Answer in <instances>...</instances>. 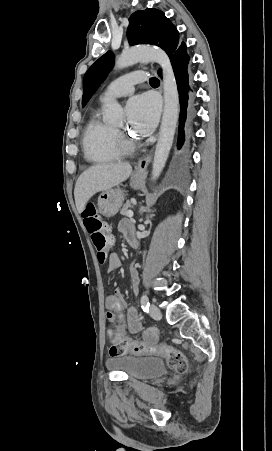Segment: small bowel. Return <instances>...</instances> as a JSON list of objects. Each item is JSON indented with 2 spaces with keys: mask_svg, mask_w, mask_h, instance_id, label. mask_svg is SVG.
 Returning <instances> with one entry per match:
<instances>
[{
  "mask_svg": "<svg viewBox=\"0 0 272 451\" xmlns=\"http://www.w3.org/2000/svg\"><path fill=\"white\" fill-rule=\"evenodd\" d=\"M118 230L128 240L129 237L135 236V229L133 223L128 219H123L118 224ZM109 243L113 244L115 239L113 236L108 237ZM121 267V260L116 253H110L107 261V270L113 271ZM130 281L133 292H137L139 286V273L136 266H132L130 269ZM107 316L110 319H115L124 309L126 311L127 328L130 333H138L141 330V322L139 316L134 307H127V302L124 299L120 290H115L107 297ZM127 338L125 335V329L122 327L119 331V340ZM145 341L148 343H157L158 335L155 331L149 330L145 333Z\"/></svg>",
  "mask_w": 272,
  "mask_h": 451,
  "instance_id": "obj_1",
  "label": "small bowel"
}]
</instances>
